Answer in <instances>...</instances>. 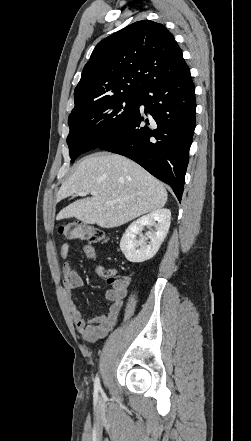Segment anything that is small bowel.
<instances>
[{"label":"small bowel","instance_id":"c3829d8e","mask_svg":"<svg viewBox=\"0 0 251 441\" xmlns=\"http://www.w3.org/2000/svg\"><path fill=\"white\" fill-rule=\"evenodd\" d=\"M83 251L86 258L95 265L97 273L105 278L107 270L97 262L95 247L85 245ZM69 253L70 245L68 243L63 244L60 248V257L67 259ZM62 273L65 278L64 287L69 295V309L77 331L89 342L104 338L117 322L123 300L127 294V284H112V287L105 292V299L109 304L107 311L102 315H94L90 319H86L79 310L72 295L74 291L83 287L82 277L76 272L70 262L63 264Z\"/></svg>","mask_w":251,"mask_h":441}]
</instances>
